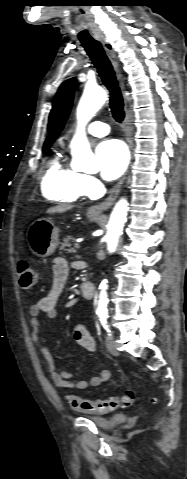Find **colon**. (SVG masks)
Instances as JSON below:
<instances>
[{
    "mask_svg": "<svg viewBox=\"0 0 187 479\" xmlns=\"http://www.w3.org/2000/svg\"><path fill=\"white\" fill-rule=\"evenodd\" d=\"M19 285L23 290H30L39 282V273L26 260H20L17 264ZM67 400L71 408L83 413L106 414L116 408L127 406L135 401V394L132 391L122 396H113L103 400L82 399L75 395L68 394Z\"/></svg>",
    "mask_w": 187,
    "mask_h": 479,
    "instance_id": "5ec220e1",
    "label": "colon"
}]
</instances>
